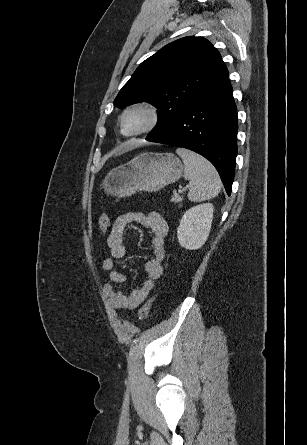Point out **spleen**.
Segmentation results:
<instances>
[{
	"instance_id": "1",
	"label": "spleen",
	"mask_w": 307,
	"mask_h": 445,
	"mask_svg": "<svg viewBox=\"0 0 307 445\" xmlns=\"http://www.w3.org/2000/svg\"><path fill=\"white\" fill-rule=\"evenodd\" d=\"M177 154L181 156L185 170L186 180H190L191 186L187 194L192 202H202L217 196L222 186L221 178L213 164L206 160L201 154L187 150V148H177Z\"/></svg>"
}]
</instances>
